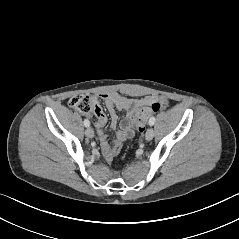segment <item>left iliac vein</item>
<instances>
[{"mask_svg": "<svg viewBox=\"0 0 239 239\" xmlns=\"http://www.w3.org/2000/svg\"><path fill=\"white\" fill-rule=\"evenodd\" d=\"M154 137V129L152 127L148 128L145 134V139L147 141L152 140Z\"/></svg>", "mask_w": 239, "mask_h": 239, "instance_id": "obj_1", "label": "left iliac vein"}]
</instances>
